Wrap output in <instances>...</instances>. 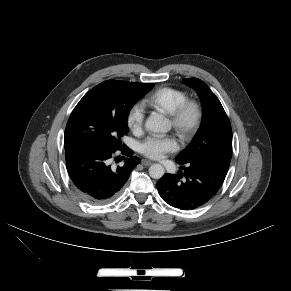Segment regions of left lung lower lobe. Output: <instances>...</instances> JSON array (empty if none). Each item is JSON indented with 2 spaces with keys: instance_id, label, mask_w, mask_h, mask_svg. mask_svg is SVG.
<instances>
[{
  "instance_id": "1",
  "label": "left lung lower lobe",
  "mask_w": 291,
  "mask_h": 291,
  "mask_svg": "<svg viewBox=\"0 0 291 291\" xmlns=\"http://www.w3.org/2000/svg\"><path fill=\"white\" fill-rule=\"evenodd\" d=\"M229 166L196 160L181 165L178 175L165 174L157 183L162 199L182 210H191L208 202L219 190ZM183 177V179H182Z\"/></svg>"
}]
</instances>
